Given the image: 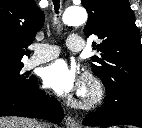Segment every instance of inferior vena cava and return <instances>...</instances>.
I'll return each mask as SVG.
<instances>
[{"label": "inferior vena cava", "mask_w": 142, "mask_h": 128, "mask_svg": "<svg viewBox=\"0 0 142 128\" xmlns=\"http://www.w3.org/2000/svg\"><path fill=\"white\" fill-rule=\"evenodd\" d=\"M38 128H47V125L40 123L39 126H38Z\"/></svg>", "instance_id": "1"}]
</instances>
